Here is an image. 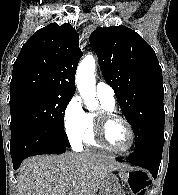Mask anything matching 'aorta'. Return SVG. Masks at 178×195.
I'll use <instances>...</instances> for the list:
<instances>
[{"instance_id": "762f6f07", "label": "aorta", "mask_w": 178, "mask_h": 195, "mask_svg": "<svg viewBox=\"0 0 178 195\" xmlns=\"http://www.w3.org/2000/svg\"><path fill=\"white\" fill-rule=\"evenodd\" d=\"M96 62L92 55L85 56L80 62L76 72V85L88 110H95L98 107L96 100L95 84Z\"/></svg>"}]
</instances>
